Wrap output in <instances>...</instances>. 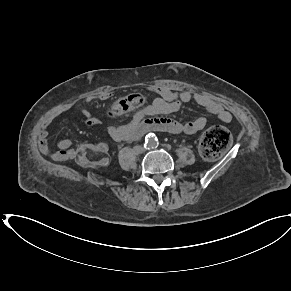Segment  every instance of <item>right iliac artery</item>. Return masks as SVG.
<instances>
[{"mask_svg": "<svg viewBox=\"0 0 291 291\" xmlns=\"http://www.w3.org/2000/svg\"><path fill=\"white\" fill-rule=\"evenodd\" d=\"M151 146H152L151 142L149 141V139H147L145 141L144 148L149 149Z\"/></svg>", "mask_w": 291, "mask_h": 291, "instance_id": "right-iliac-artery-1", "label": "right iliac artery"}]
</instances>
